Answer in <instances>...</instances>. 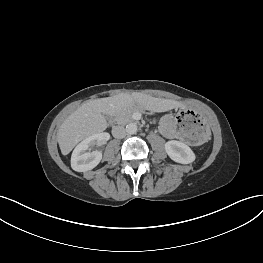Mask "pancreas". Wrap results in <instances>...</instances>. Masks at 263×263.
I'll list each match as a JSON object with an SVG mask.
<instances>
[{
    "label": "pancreas",
    "instance_id": "cf45deb5",
    "mask_svg": "<svg viewBox=\"0 0 263 263\" xmlns=\"http://www.w3.org/2000/svg\"><path fill=\"white\" fill-rule=\"evenodd\" d=\"M137 111L136 109L130 108L117 114L116 121L118 124H126L132 121V114Z\"/></svg>",
    "mask_w": 263,
    "mask_h": 263
}]
</instances>
